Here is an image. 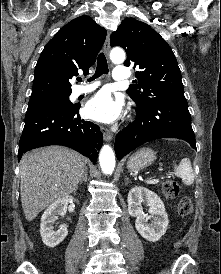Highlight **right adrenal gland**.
<instances>
[{
  "label": "right adrenal gland",
  "instance_id": "obj_1",
  "mask_svg": "<svg viewBox=\"0 0 221 274\" xmlns=\"http://www.w3.org/2000/svg\"><path fill=\"white\" fill-rule=\"evenodd\" d=\"M87 167L85 168V171H84V174L83 176L81 177L80 181H79V184H82L83 181L87 182V178H88V171H87Z\"/></svg>",
  "mask_w": 221,
  "mask_h": 274
}]
</instances>
